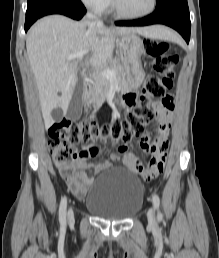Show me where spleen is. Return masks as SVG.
<instances>
[{
  "label": "spleen",
  "mask_w": 219,
  "mask_h": 258,
  "mask_svg": "<svg viewBox=\"0 0 219 258\" xmlns=\"http://www.w3.org/2000/svg\"><path fill=\"white\" fill-rule=\"evenodd\" d=\"M166 31H165V33H164V38H169V39H173V37H172V35L170 34V33H172V32H170L169 30H167V29H165ZM173 34V33H172Z\"/></svg>",
  "instance_id": "spleen-1"
}]
</instances>
